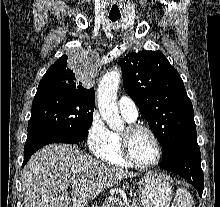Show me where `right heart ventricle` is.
<instances>
[{
	"label": "right heart ventricle",
	"instance_id": "right-heart-ventricle-1",
	"mask_svg": "<svg viewBox=\"0 0 220 207\" xmlns=\"http://www.w3.org/2000/svg\"><path fill=\"white\" fill-rule=\"evenodd\" d=\"M124 117L129 123H132L134 121L127 116ZM94 155L101 161H104L110 165L118 167L131 166L129 163L126 162L121 154L118 132H110L106 144L100 150L94 152Z\"/></svg>",
	"mask_w": 220,
	"mask_h": 207
}]
</instances>
